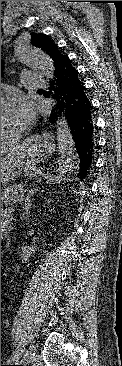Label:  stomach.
<instances>
[{
    "label": "stomach",
    "mask_w": 122,
    "mask_h": 366,
    "mask_svg": "<svg viewBox=\"0 0 122 366\" xmlns=\"http://www.w3.org/2000/svg\"><path fill=\"white\" fill-rule=\"evenodd\" d=\"M37 143V140H30L29 145L34 147ZM22 154L21 152H12L1 156V184H7L19 174L18 169L21 167Z\"/></svg>",
    "instance_id": "stomach-1"
}]
</instances>
